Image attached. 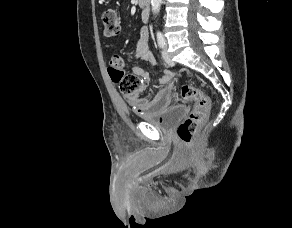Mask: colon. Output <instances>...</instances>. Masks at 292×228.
<instances>
[{
  "label": "colon",
  "instance_id": "5ec220e1",
  "mask_svg": "<svg viewBox=\"0 0 292 228\" xmlns=\"http://www.w3.org/2000/svg\"><path fill=\"white\" fill-rule=\"evenodd\" d=\"M103 31L106 36L114 37L120 33L121 22L114 10H107L102 16ZM122 58L114 56L109 63L108 72L121 93L128 99H136L141 90V80L133 74H125L122 69ZM181 96L185 101L194 103V107L185 120L178 126L177 133L181 141L191 144L198 128L207 120L211 99L199 88L185 85L181 90Z\"/></svg>",
  "mask_w": 292,
  "mask_h": 228
}]
</instances>
